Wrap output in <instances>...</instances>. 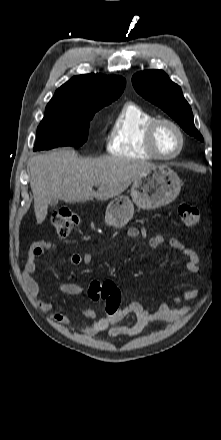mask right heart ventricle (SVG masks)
<instances>
[{
	"label": "right heart ventricle",
	"instance_id": "1",
	"mask_svg": "<svg viewBox=\"0 0 221 440\" xmlns=\"http://www.w3.org/2000/svg\"><path fill=\"white\" fill-rule=\"evenodd\" d=\"M155 116L135 102L120 109L109 134L107 151L114 157L151 159L145 142V129Z\"/></svg>",
	"mask_w": 221,
	"mask_h": 440
}]
</instances>
